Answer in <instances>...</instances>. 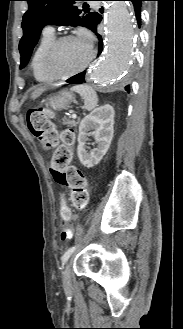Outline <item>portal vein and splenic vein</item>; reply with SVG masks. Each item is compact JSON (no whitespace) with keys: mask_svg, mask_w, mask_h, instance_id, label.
<instances>
[{"mask_svg":"<svg viewBox=\"0 0 183 329\" xmlns=\"http://www.w3.org/2000/svg\"><path fill=\"white\" fill-rule=\"evenodd\" d=\"M73 119H76L77 118V115L76 114H72L71 116Z\"/></svg>","mask_w":183,"mask_h":329,"instance_id":"obj_1","label":"portal vein and splenic vein"}]
</instances>
